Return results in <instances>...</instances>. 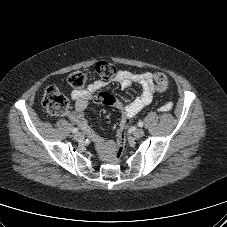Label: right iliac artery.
Returning <instances> with one entry per match:
<instances>
[{
  "instance_id": "82829eb1",
  "label": "right iliac artery",
  "mask_w": 227,
  "mask_h": 227,
  "mask_svg": "<svg viewBox=\"0 0 227 227\" xmlns=\"http://www.w3.org/2000/svg\"><path fill=\"white\" fill-rule=\"evenodd\" d=\"M78 130H79L78 128H73V129H72V133H77Z\"/></svg>"
}]
</instances>
